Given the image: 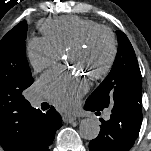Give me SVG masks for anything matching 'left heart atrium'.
Instances as JSON below:
<instances>
[{"instance_id":"obj_1","label":"left heart atrium","mask_w":151,"mask_h":151,"mask_svg":"<svg viewBox=\"0 0 151 151\" xmlns=\"http://www.w3.org/2000/svg\"><path fill=\"white\" fill-rule=\"evenodd\" d=\"M45 96L60 109L72 108L87 92V79L62 69H54L44 74L39 81Z\"/></svg>"}]
</instances>
